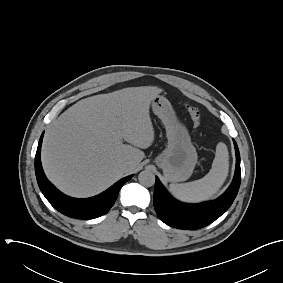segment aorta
<instances>
[{
  "label": "aorta",
  "mask_w": 283,
  "mask_h": 283,
  "mask_svg": "<svg viewBox=\"0 0 283 283\" xmlns=\"http://www.w3.org/2000/svg\"><path fill=\"white\" fill-rule=\"evenodd\" d=\"M138 180H139L141 185H143L145 187H150V186L154 185V183H155V175L153 174V172H151L149 170H144V171L140 172V174L138 176Z\"/></svg>",
  "instance_id": "obj_1"
}]
</instances>
